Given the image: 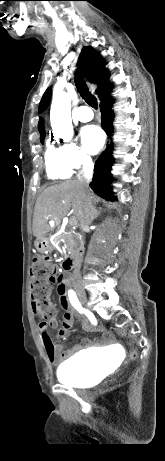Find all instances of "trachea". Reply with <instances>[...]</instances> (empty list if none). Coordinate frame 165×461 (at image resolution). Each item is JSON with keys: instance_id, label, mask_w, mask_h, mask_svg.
Returning <instances> with one entry per match:
<instances>
[{"instance_id": "obj_1", "label": "trachea", "mask_w": 165, "mask_h": 461, "mask_svg": "<svg viewBox=\"0 0 165 461\" xmlns=\"http://www.w3.org/2000/svg\"><path fill=\"white\" fill-rule=\"evenodd\" d=\"M76 87L78 92L80 93L81 97L86 101L87 104L96 108L97 107V99L94 95L89 92L85 81L79 75L76 76Z\"/></svg>"}]
</instances>
